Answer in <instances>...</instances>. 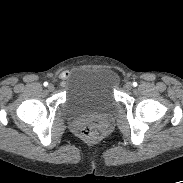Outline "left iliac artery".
Here are the masks:
<instances>
[{
  "label": "left iliac artery",
  "mask_w": 183,
  "mask_h": 183,
  "mask_svg": "<svg viewBox=\"0 0 183 183\" xmlns=\"http://www.w3.org/2000/svg\"><path fill=\"white\" fill-rule=\"evenodd\" d=\"M133 86L136 87L137 86V82H133Z\"/></svg>",
  "instance_id": "obj_1"
}]
</instances>
